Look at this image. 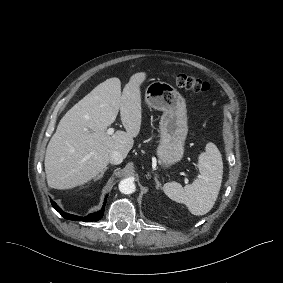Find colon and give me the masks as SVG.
<instances>
[{"instance_id": "obj_1", "label": "colon", "mask_w": 283, "mask_h": 283, "mask_svg": "<svg viewBox=\"0 0 283 283\" xmlns=\"http://www.w3.org/2000/svg\"><path fill=\"white\" fill-rule=\"evenodd\" d=\"M175 84L179 88L193 92H206L209 90V84L206 81L187 73L178 74L175 77Z\"/></svg>"}]
</instances>
